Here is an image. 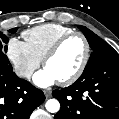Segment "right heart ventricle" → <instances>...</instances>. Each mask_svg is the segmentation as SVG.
Instances as JSON below:
<instances>
[{"mask_svg":"<svg viewBox=\"0 0 119 119\" xmlns=\"http://www.w3.org/2000/svg\"><path fill=\"white\" fill-rule=\"evenodd\" d=\"M74 32L72 28L60 24H43L23 32L26 44L32 53L43 60L48 50L63 36Z\"/></svg>","mask_w":119,"mask_h":119,"instance_id":"1","label":"right heart ventricle"}]
</instances>
